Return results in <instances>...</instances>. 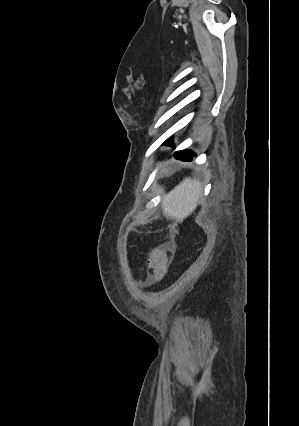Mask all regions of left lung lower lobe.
<instances>
[{
	"mask_svg": "<svg viewBox=\"0 0 299 426\" xmlns=\"http://www.w3.org/2000/svg\"><path fill=\"white\" fill-rule=\"evenodd\" d=\"M171 147L174 148V146L172 145ZM195 154L189 150H182V151H178L174 154L175 158L183 160V161H191L192 157Z\"/></svg>",
	"mask_w": 299,
	"mask_h": 426,
	"instance_id": "left-lung-lower-lobe-1",
	"label": "left lung lower lobe"
}]
</instances>
